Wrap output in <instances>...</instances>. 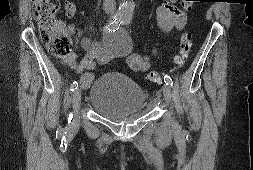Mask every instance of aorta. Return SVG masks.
<instances>
[{
    "mask_svg": "<svg viewBox=\"0 0 253 170\" xmlns=\"http://www.w3.org/2000/svg\"><path fill=\"white\" fill-rule=\"evenodd\" d=\"M135 7L134 0H126L125 3L122 4V6L118 10V16L120 18H125L132 14Z\"/></svg>",
    "mask_w": 253,
    "mask_h": 170,
    "instance_id": "762f6f07",
    "label": "aorta"
}]
</instances>
